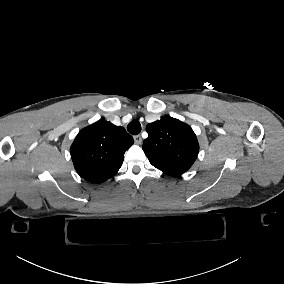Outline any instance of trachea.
<instances>
[{
	"mask_svg": "<svg viewBox=\"0 0 284 284\" xmlns=\"http://www.w3.org/2000/svg\"><path fill=\"white\" fill-rule=\"evenodd\" d=\"M127 130L130 134L137 135L141 132V124L137 119L132 120L128 126Z\"/></svg>",
	"mask_w": 284,
	"mask_h": 284,
	"instance_id": "1",
	"label": "trachea"
}]
</instances>
